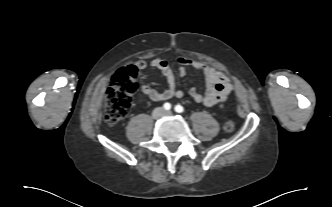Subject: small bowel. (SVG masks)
Here are the masks:
<instances>
[{
	"mask_svg": "<svg viewBox=\"0 0 332 207\" xmlns=\"http://www.w3.org/2000/svg\"><path fill=\"white\" fill-rule=\"evenodd\" d=\"M178 63V74L180 76H185L188 68H193L204 76L206 86L204 93L198 92L195 88L189 90V95L195 102L209 107L222 106L225 103L232 92L233 86L223 73L205 63L186 57H180ZM133 65L139 70H146L147 68V64L143 60H137ZM151 66L165 77L167 87L165 90L159 91L149 85H143L141 90L149 99L162 101L172 97L180 98L183 96V91L176 88L174 71L166 60L153 59Z\"/></svg>",
	"mask_w": 332,
	"mask_h": 207,
	"instance_id": "1",
	"label": "small bowel"
}]
</instances>
